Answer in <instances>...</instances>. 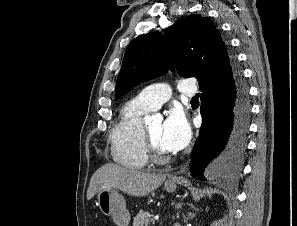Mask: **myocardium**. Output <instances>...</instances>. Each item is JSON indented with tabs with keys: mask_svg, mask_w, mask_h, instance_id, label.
<instances>
[{
	"mask_svg": "<svg viewBox=\"0 0 297 226\" xmlns=\"http://www.w3.org/2000/svg\"><path fill=\"white\" fill-rule=\"evenodd\" d=\"M142 136L149 158L157 164H165L171 160V156L161 152L150 137L148 129L143 126Z\"/></svg>",
	"mask_w": 297,
	"mask_h": 226,
	"instance_id": "obj_1",
	"label": "myocardium"
}]
</instances>
